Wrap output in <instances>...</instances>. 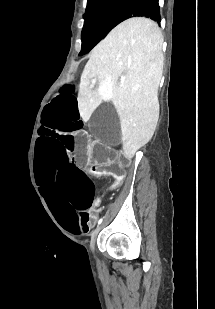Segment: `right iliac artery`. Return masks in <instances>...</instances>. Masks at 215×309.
Instances as JSON below:
<instances>
[{"label":"right iliac artery","instance_id":"obj_1","mask_svg":"<svg viewBox=\"0 0 215 309\" xmlns=\"http://www.w3.org/2000/svg\"><path fill=\"white\" fill-rule=\"evenodd\" d=\"M102 221H103V219H100V220H99V222H98V224H101V223H102Z\"/></svg>","mask_w":215,"mask_h":309}]
</instances>
